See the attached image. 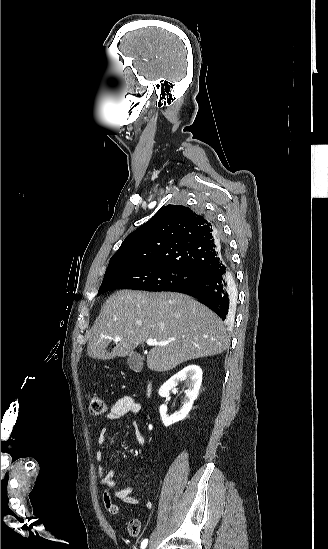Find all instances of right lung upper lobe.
Returning a JSON list of instances; mask_svg holds the SVG:
<instances>
[{
    "label": "right lung upper lobe",
    "instance_id": "cb5924a9",
    "mask_svg": "<svg viewBox=\"0 0 328 549\" xmlns=\"http://www.w3.org/2000/svg\"><path fill=\"white\" fill-rule=\"evenodd\" d=\"M226 257L214 222L189 207L167 205L125 238L106 272L128 262H150L206 274L219 269Z\"/></svg>",
    "mask_w": 328,
    "mask_h": 549
}]
</instances>
